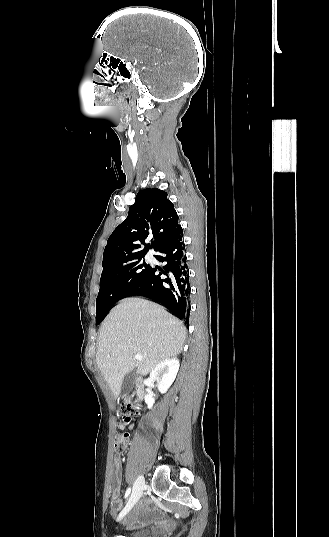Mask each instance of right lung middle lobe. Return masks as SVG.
Returning <instances> with one entry per match:
<instances>
[{
	"mask_svg": "<svg viewBox=\"0 0 329 537\" xmlns=\"http://www.w3.org/2000/svg\"><path fill=\"white\" fill-rule=\"evenodd\" d=\"M150 265L142 257L121 265L104 267L100 278V290L96 299V323L99 324L108 310L143 277Z\"/></svg>",
	"mask_w": 329,
	"mask_h": 537,
	"instance_id": "obj_1",
	"label": "right lung middle lobe"
}]
</instances>
